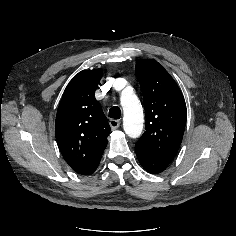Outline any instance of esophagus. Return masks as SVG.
Segmentation results:
<instances>
[{
	"label": "esophagus",
	"instance_id": "esophagus-1",
	"mask_svg": "<svg viewBox=\"0 0 236 236\" xmlns=\"http://www.w3.org/2000/svg\"><path fill=\"white\" fill-rule=\"evenodd\" d=\"M109 124L112 129H117L120 126V121L116 119H111Z\"/></svg>",
	"mask_w": 236,
	"mask_h": 236
}]
</instances>
